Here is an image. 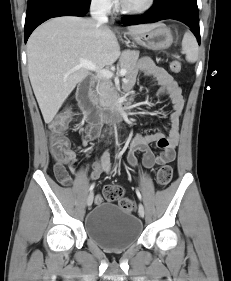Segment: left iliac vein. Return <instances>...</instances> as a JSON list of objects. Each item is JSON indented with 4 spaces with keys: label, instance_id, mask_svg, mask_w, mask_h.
<instances>
[{
    "label": "left iliac vein",
    "instance_id": "left-iliac-vein-1",
    "mask_svg": "<svg viewBox=\"0 0 231 281\" xmlns=\"http://www.w3.org/2000/svg\"><path fill=\"white\" fill-rule=\"evenodd\" d=\"M138 213H139V216H140V217H144V215H145V210H144V207H143L142 204L139 205Z\"/></svg>",
    "mask_w": 231,
    "mask_h": 281
}]
</instances>
